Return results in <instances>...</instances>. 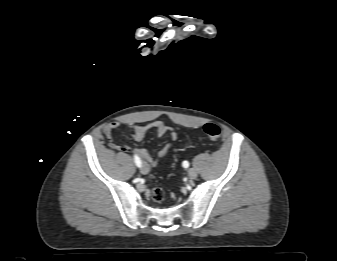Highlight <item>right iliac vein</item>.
I'll use <instances>...</instances> for the list:
<instances>
[{
	"instance_id": "right-iliac-vein-1",
	"label": "right iliac vein",
	"mask_w": 337,
	"mask_h": 261,
	"mask_svg": "<svg viewBox=\"0 0 337 261\" xmlns=\"http://www.w3.org/2000/svg\"><path fill=\"white\" fill-rule=\"evenodd\" d=\"M140 171L142 174H147L149 172V167L146 163H143L140 167Z\"/></svg>"
}]
</instances>
